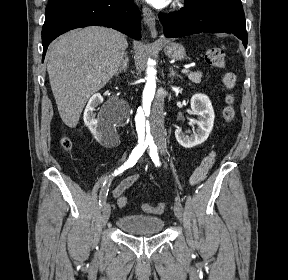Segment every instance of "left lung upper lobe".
I'll use <instances>...</instances> for the list:
<instances>
[{"instance_id":"1","label":"left lung upper lobe","mask_w":288,"mask_h":280,"mask_svg":"<svg viewBox=\"0 0 288 280\" xmlns=\"http://www.w3.org/2000/svg\"><path fill=\"white\" fill-rule=\"evenodd\" d=\"M201 0H186L187 4L198 3ZM212 2L218 6L225 7L231 9L232 11L244 15L243 6L240 0H206Z\"/></svg>"}]
</instances>
